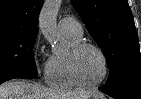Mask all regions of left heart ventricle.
<instances>
[{"instance_id":"b2bd125f","label":"left heart ventricle","mask_w":141,"mask_h":99,"mask_svg":"<svg viewBox=\"0 0 141 99\" xmlns=\"http://www.w3.org/2000/svg\"><path fill=\"white\" fill-rule=\"evenodd\" d=\"M79 74L87 83L98 81L104 73V63L100 54L92 49H84L78 58Z\"/></svg>"}]
</instances>
